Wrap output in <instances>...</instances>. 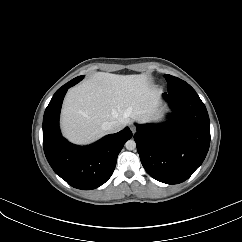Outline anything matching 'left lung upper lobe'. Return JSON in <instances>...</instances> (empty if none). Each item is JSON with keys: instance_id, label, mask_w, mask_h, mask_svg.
Here are the masks:
<instances>
[{"instance_id": "left-lung-upper-lobe-1", "label": "left lung upper lobe", "mask_w": 242, "mask_h": 242, "mask_svg": "<svg viewBox=\"0 0 242 242\" xmlns=\"http://www.w3.org/2000/svg\"><path fill=\"white\" fill-rule=\"evenodd\" d=\"M166 80L168 82V91L171 92H186V91H195L188 83L185 81L171 76L165 75Z\"/></svg>"}]
</instances>
